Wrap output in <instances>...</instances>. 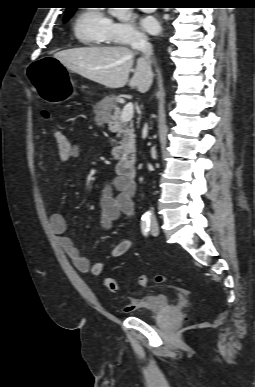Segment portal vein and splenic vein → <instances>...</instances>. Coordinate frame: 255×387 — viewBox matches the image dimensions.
Returning <instances> with one entry per match:
<instances>
[{"label":"portal vein and splenic vein","instance_id":"portal-vein-and-splenic-vein-1","mask_svg":"<svg viewBox=\"0 0 255 387\" xmlns=\"http://www.w3.org/2000/svg\"><path fill=\"white\" fill-rule=\"evenodd\" d=\"M133 114H134V106L132 103H127L123 110H122V114H121V121L122 122H129L131 121V119L133 118Z\"/></svg>","mask_w":255,"mask_h":387}]
</instances>
